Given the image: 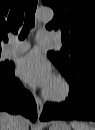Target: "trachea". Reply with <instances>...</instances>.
<instances>
[{
    "label": "trachea",
    "mask_w": 95,
    "mask_h": 130,
    "mask_svg": "<svg viewBox=\"0 0 95 130\" xmlns=\"http://www.w3.org/2000/svg\"><path fill=\"white\" fill-rule=\"evenodd\" d=\"M37 0H28L26 11H25V20L23 29L19 35V39L23 40L27 37L31 28L35 25V11L37 8Z\"/></svg>",
    "instance_id": "obj_1"
}]
</instances>
